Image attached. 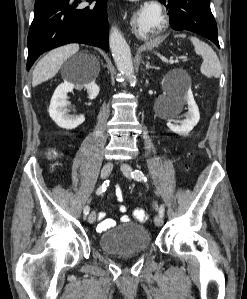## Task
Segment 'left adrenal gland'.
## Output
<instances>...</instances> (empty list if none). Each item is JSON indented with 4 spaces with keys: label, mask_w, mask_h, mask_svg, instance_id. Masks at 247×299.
Wrapping results in <instances>:
<instances>
[{
    "label": "left adrenal gland",
    "mask_w": 247,
    "mask_h": 299,
    "mask_svg": "<svg viewBox=\"0 0 247 299\" xmlns=\"http://www.w3.org/2000/svg\"><path fill=\"white\" fill-rule=\"evenodd\" d=\"M146 69H157L158 70L159 68L155 67V66H151L150 63H149V61H147L146 62Z\"/></svg>",
    "instance_id": "left-adrenal-gland-1"
}]
</instances>
